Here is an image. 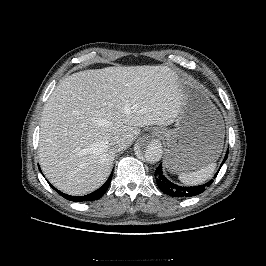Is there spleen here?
Segmentation results:
<instances>
[{
    "mask_svg": "<svg viewBox=\"0 0 266 266\" xmlns=\"http://www.w3.org/2000/svg\"><path fill=\"white\" fill-rule=\"evenodd\" d=\"M216 163H210L198 171L184 172L179 174V180L185 185H198L212 177Z\"/></svg>",
    "mask_w": 266,
    "mask_h": 266,
    "instance_id": "spleen-1",
    "label": "spleen"
}]
</instances>
